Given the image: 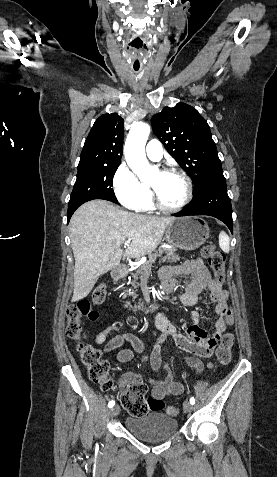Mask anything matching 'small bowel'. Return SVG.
Masks as SVG:
<instances>
[{"instance_id": "small-bowel-1", "label": "small bowel", "mask_w": 277, "mask_h": 477, "mask_svg": "<svg viewBox=\"0 0 277 477\" xmlns=\"http://www.w3.org/2000/svg\"><path fill=\"white\" fill-rule=\"evenodd\" d=\"M190 275L191 279L186 284L184 291L179 295L182 304L191 306L196 303L198 295L208 290L210 299L216 303L215 313L217 319L215 321V332L209 336L207 331L200 325V315L197 311L192 312V324L186 329L184 334L178 332L177 328L161 314L156 319V325L162 332L154 345L149 356L141 357L142 363H149L153 371H158L162 367L161 345L171 337L175 344L182 351L187 353L184 356L185 363L199 374L204 369V364L199 357H209L216 346L218 339L223 335L226 324L223 319L225 311L229 306L227 303L228 292L223 289L222 284L216 278H213L201 259L185 261L178 265H167L161 268L160 278L166 292H170L177 285L180 277ZM127 326L130 329L137 327V321L128 317L123 320L116 321L109 325L104 331L100 332L96 337V343L102 344L106 341L107 336L113 332ZM125 342L130 343L131 349H121L116 359L120 363H126L134 359L137 354H141L145 349L144 340L133 333H125L116 335L111 338L104 346L105 352H110L120 348ZM208 368L213 367V363L207 364ZM166 377L162 380L150 378L149 382L153 386L152 397L164 399L166 396H178L183 393L184 386L181 382L174 380V373L169 365L163 367ZM142 382V376L138 373H126L122 377V383H138Z\"/></svg>"}]
</instances>
